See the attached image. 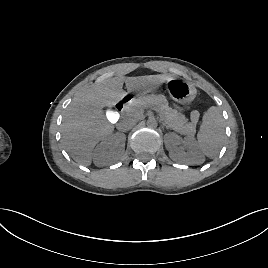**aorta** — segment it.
<instances>
[{"label":"aorta","mask_w":268,"mask_h":268,"mask_svg":"<svg viewBox=\"0 0 268 268\" xmlns=\"http://www.w3.org/2000/svg\"><path fill=\"white\" fill-rule=\"evenodd\" d=\"M146 124L151 129H155L158 126V122L155 117H149Z\"/></svg>","instance_id":"obj_1"}]
</instances>
